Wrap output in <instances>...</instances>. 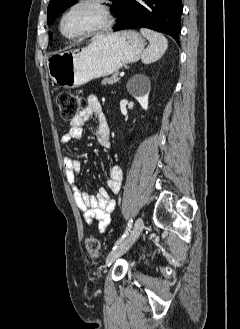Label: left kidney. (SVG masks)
Segmentation results:
<instances>
[{
    "label": "left kidney",
    "instance_id": "1",
    "mask_svg": "<svg viewBox=\"0 0 240 329\" xmlns=\"http://www.w3.org/2000/svg\"><path fill=\"white\" fill-rule=\"evenodd\" d=\"M139 82L141 84V88H134V84ZM127 89L130 94L134 96V98L139 102L141 107L144 110L148 109V98L150 91V80L147 76L143 74H137L128 82Z\"/></svg>",
    "mask_w": 240,
    "mask_h": 329
}]
</instances>
